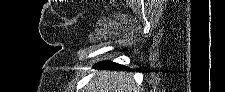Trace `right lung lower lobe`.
Returning a JSON list of instances; mask_svg holds the SVG:
<instances>
[{"instance_id":"right-lung-lower-lobe-1","label":"right lung lower lobe","mask_w":225,"mask_h":92,"mask_svg":"<svg viewBox=\"0 0 225 92\" xmlns=\"http://www.w3.org/2000/svg\"><path fill=\"white\" fill-rule=\"evenodd\" d=\"M94 67L97 68V69L126 70V71H132L133 70V69H130V68L125 67L123 65L111 62V61L100 62Z\"/></svg>"}]
</instances>
